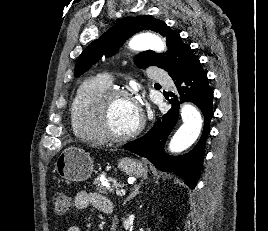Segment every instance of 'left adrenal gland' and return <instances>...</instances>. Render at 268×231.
<instances>
[{"label":"left adrenal gland","mask_w":268,"mask_h":231,"mask_svg":"<svg viewBox=\"0 0 268 231\" xmlns=\"http://www.w3.org/2000/svg\"><path fill=\"white\" fill-rule=\"evenodd\" d=\"M140 187H141V183L133 187L131 194L124 200L123 205H125L128 201L132 200L135 196H137L140 193L139 191Z\"/></svg>","instance_id":"obj_1"}]
</instances>
